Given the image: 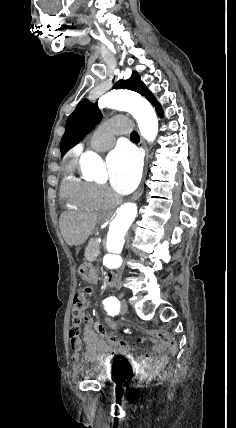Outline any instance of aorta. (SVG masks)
Segmentation results:
<instances>
[{"instance_id":"1","label":"aorta","mask_w":236,"mask_h":428,"mask_svg":"<svg viewBox=\"0 0 236 428\" xmlns=\"http://www.w3.org/2000/svg\"><path fill=\"white\" fill-rule=\"evenodd\" d=\"M98 106L129 112L137 121L141 135L152 142L158 134V119L151 104L140 95L128 90H113L99 99ZM81 166L95 179L104 177L101 158L94 152H86L81 159ZM137 215V205L125 203L116 211V217L109 225L107 234V253L103 264L109 269H117L122 265L121 252L125 243V235Z\"/></svg>"}]
</instances>
